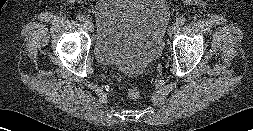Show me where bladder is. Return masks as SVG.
<instances>
[{
    "label": "bladder",
    "instance_id": "obj_1",
    "mask_svg": "<svg viewBox=\"0 0 253 131\" xmlns=\"http://www.w3.org/2000/svg\"><path fill=\"white\" fill-rule=\"evenodd\" d=\"M168 17L163 0H100L94 7L97 60L140 73L161 55Z\"/></svg>",
    "mask_w": 253,
    "mask_h": 131
}]
</instances>
